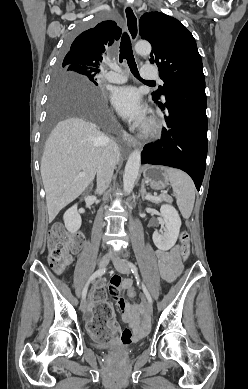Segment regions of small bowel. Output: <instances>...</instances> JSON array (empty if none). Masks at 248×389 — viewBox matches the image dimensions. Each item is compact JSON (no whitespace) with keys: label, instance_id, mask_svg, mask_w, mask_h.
I'll use <instances>...</instances> for the list:
<instances>
[{"label":"small bowel","instance_id":"1","mask_svg":"<svg viewBox=\"0 0 248 389\" xmlns=\"http://www.w3.org/2000/svg\"><path fill=\"white\" fill-rule=\"evenodd\" d=\"M179 246H174L169 251L156 250L155 256L158 263L159 273L167 282H173L181 272L179 261ZM111 285H107L106 290L112 301L120 308L122 312V321L128 325L123 330L120 340L124 344H130L142 339L149 330L148 323L143 316L146 309L145 303L131 304L122 298V291L129 290L133 281L130 278L122 279L117 272H112L110 277ZM88 319H92V309L87 314ZM112 330H116L115 323L111 322Z\"/></svg>","mask_w":248,"mask_h":389}]
</instances>
